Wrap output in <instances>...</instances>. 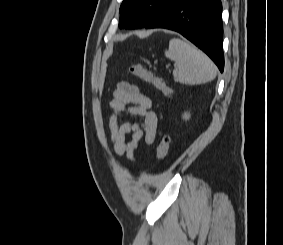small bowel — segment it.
<instances>
[{
    "mask_svg": "<svg viewBox=\"0 0 283 245\" xmlns=\"http://www.w3.org/2000/svg\"><path fill=\"white\" fill-rule=\"evenodd\" d=\"M109 107V130L114 151L117 155L126 156L129 161L134 162L139 142L144 140L146 144H152L156 139L158 117L152 110V101L137 86L120 82L113 92ZM119 113L136 116L141 120L119 124ZM128 134H131V138L126 141Z\"/></svg>",
    "mask_w": 283,
    "mask_h": 245,
    "instance_id": "c3829d8e",
    "label": "small bowel"
}]
</instances>
